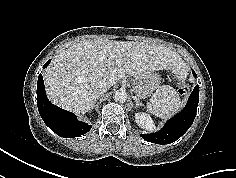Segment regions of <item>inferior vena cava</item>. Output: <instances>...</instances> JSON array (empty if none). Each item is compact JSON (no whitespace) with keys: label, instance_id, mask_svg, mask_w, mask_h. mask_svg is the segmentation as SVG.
Here are the masks:
<instances>
[{"label":"inferior vena cava","instance_id":"1","mask_svg":"<svg viewBox=\"0 0 236 178\" xmlns=\"http://www.w3.org/2000/svg\"><path fill=\"white\" fill-rule=\"evenodd\" d=\"M109 87H110V84H108L106 82L99 83L96 87V91H95L96 95L98 96V95H101V94L107 92Z\"/></svg>","mask_w":236,"mask_h":178}]
</instances>
